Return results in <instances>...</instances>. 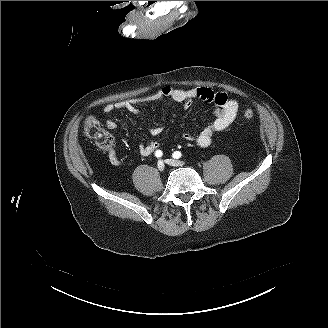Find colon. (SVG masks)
Wrapping results in <instances>:
<instances>
[{
  "label": "colon",
  "mask_w": 328,
  "mask_h": 328,
  "mask_svg": "<svg viewBox=\"0 0 328 328\" xmlns=\"http://www.w3.org/2000/svg\"><path fill=\"white\" fill-rule=\"evenodd\" d=\"M243 116L251 119L254 116L252 109L244 110ZM84 134L87 138L93 140L95 144L102 150H107L113 143L112 136L106 133L100 126V123L94 117H88L84 123Z\"/></svg>",
  "instance_id": "1"
}]
</instances>
